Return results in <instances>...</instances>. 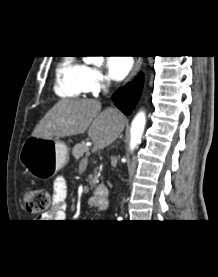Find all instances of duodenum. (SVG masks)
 <instances>
[{
    "instance_id": "1",
    "label": "duodenum",
    "mask_w": 218,
    "mask_h": 277,
    "mask_svg": "<svg viewBox=\"0 0 218 277\" xmlns=\"http://www.w3.org/2000/svg\"><path fill=\"white\" fill-rule=\"evenodd\" d=\"M109 196V190L105 185H98L94 189V196L92 198V204L98 208H105Z\"/></svg>"
}]
</instances>
